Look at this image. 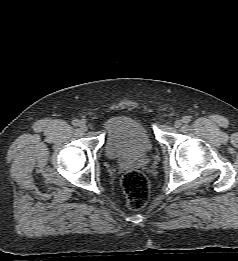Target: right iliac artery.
I'll return each mask as SVG.
<instances>
[{
  "label": "right iliac artery",
  "instance_id": "obj_1",
  "mask_svg": "<svg viewBox=\"0 0 238 261\" xmlns=\"http://www.w3.org/2000/svg\"><path fill=\"white\" fill-rule=\"evenodd\" d=\"M72 124H73L74 126H79V125H80V121L77 120V119H74V120H72Z\"/></svg>",
  "mask_w": 238,
  "mask_h": 261
}]
</instances>
